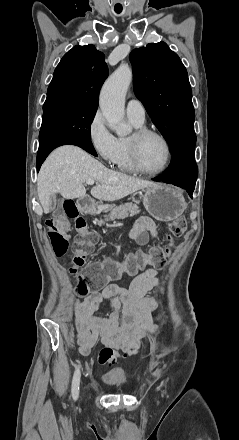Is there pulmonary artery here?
I'll use <instances>...</instances> for the list:
<instances>
[{
    "instance_id": "1",
    "label": "pulmonary artery",
    "mask_w": 239,
    "mask_h": 440,
    "mask_svg": "<svg viewBox=\"0 0 239 440\" xmlns=\"http://www.w3.org/2000/svg\"><path fill=\"white\" fill-rule=\"evenodd\" d=\"M126 113L128 118L135 124H143L145 121V108L142 102L136 98L128 101Z\"/></svg>"
}]
</instances>
